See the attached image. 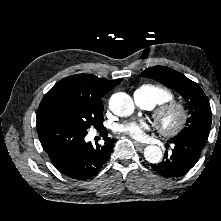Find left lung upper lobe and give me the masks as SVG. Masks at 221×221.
Returning <instances> with one entry per match:
<instances>
[{
    "label": "left lung upper lobe",
    "instance_id": "5c2ea615",
    "mask_svg": "<svg viewBox=\"0 0 221 221\" xmlns=\"http://www.w3.org/2000/svg\"><path fill=\"white\" fill-rule=\"evenodd\" d=\"M140 75L174 89L187 101L190 117L186 121L184 130L177 136H184L196 131L210 130L212 113L209 100L198 84L176 70L165 66L148 68Z\"/></svg>",
    "mask_w": 221,
    "mask_h": 221
}]
</instances>
